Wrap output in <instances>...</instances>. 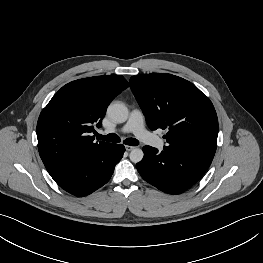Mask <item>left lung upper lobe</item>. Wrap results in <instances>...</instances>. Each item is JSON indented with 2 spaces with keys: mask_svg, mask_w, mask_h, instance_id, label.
Wrapping results in <instances>:
<instances>
[{
  "mask_svg": "<svg viewBox=\"0 0 263 263\" xmlns=\"http://www.w3.org/2000/svg\"><path fill=\"white\" fill-rule=\"evenodd\" d=\"M131 90L152 130L168 129L167 146L213 159L218 119L213 104L191 82L171 74L130 78Z\"/></svg>",
  "mask_w": 263,
  "mask_h": 263,
  "instance_id": "obj_1",
  "label": "left lung upper lobe"
}]
</instances>
